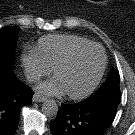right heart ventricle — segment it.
I'll list each match as a JSON object with an SVG mask.
<instances>
[{
  "instance_id": "1",
  "label": "right heart ventricle",
  "mask_w": 135,
  "mask_h": 135,
  "mask_svg": "<svg viewBox=\"0 0 135 135\" xmlns=\"http://www.w3.org/2000/svg\"><path fill=\"white\" fill-rule=\"evenodd\" d=\"M90 43V40L76 35L52 34L41 37L35 50L48 67H53L75 48Z\"/></svg>"
}]
</instances>
